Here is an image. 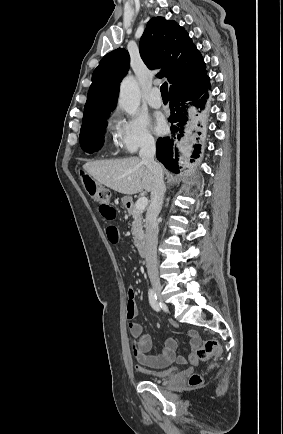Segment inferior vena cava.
I'll list each match as a JSON object with an SVG mask.
<instances>
[{
	"mask_svg": "<svg viewBox=\"0 0 283 434\" xmlns=\"http://www.w3.org/2000/svg\"><path fill=\"white\" fill-rule=\"evenodd\" d=\"M155 151L154 139L147 138L141 146L139 156L154 176V186L151 191V203L146 213V264L150 280L159 283L157 269V243L159 231L157 216L162 208L166 186L163 181L162 167L154 160Z\"/></svg>",
	"mask_w": 283,
	"mask_h": 434,
	"instance_id": "1",
	"label": "inferior vena cava"
}]
</instances>
